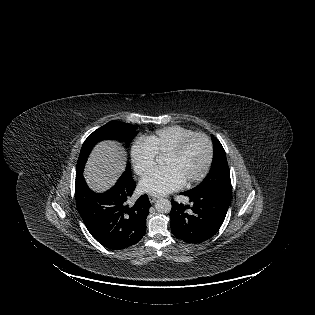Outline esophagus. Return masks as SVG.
I'll return each instance as SVG.
<instances>
[{"instance_id":"1","label":"esophagus","mask_w":315,"mask_h":315,"mask_svg":"<svg viewBox=\"0 0 315 315\" xmlns=\"http://www.w3.org/2000/svg\"><path fill=\"white\" fill-rule=\"evenodd\" d=\"M157 199H158V198L155 197V196H153V195H150V196H149V200H150L151 203H155V202L157 201Z\"/></svg>"}]
</instances>
